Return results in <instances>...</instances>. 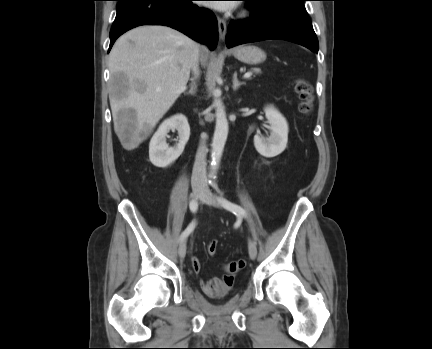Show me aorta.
Listing matches in <instances>:
<instances>
[{
  "mask_svg": "<svg viewBox=\"0 0 432 349\" xmlns=\"http://www.w3.org/2000/svg\"><path fill=\"white\" fill-rule=\"evenodd\" d=\"M221 90L218 88L213 89V107L216 112V126L212 141V153H211V173L210 178H215L218 170L224 146L228 136V120L225 113V107L220 98Z\"/></svg>",
  "mask_w": 432,
  "mask_h": 349,
  "instance_id": "obj_1",
  "label": "aorta"
}]
</instances>
